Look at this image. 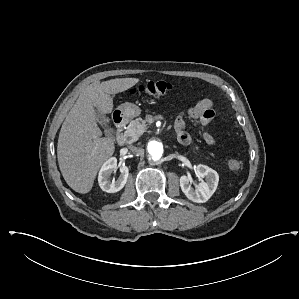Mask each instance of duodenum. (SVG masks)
I'll list each match as a JSON object with an SVG mask.
<instances>
[{"mask_svg": "<svg viewBox=\"0 0 299 299\" xmlns=\"http://www.w3.org/2000/svg\"><path fill=\"white\" fill-rule=\"evenodd\" d=\"M112 118H113V121H114V124L116 126V129H117V142L118 144L120 145H123L124 142H125V139H124V136H123V129L126 125V117L125 115L120 112V111H115L113 114H112Z\"/></svg>", "mask_w": 299, "mask_h": 299, "instance_id": "duodenum-1", "label": "duodenum"}]
</instances>
